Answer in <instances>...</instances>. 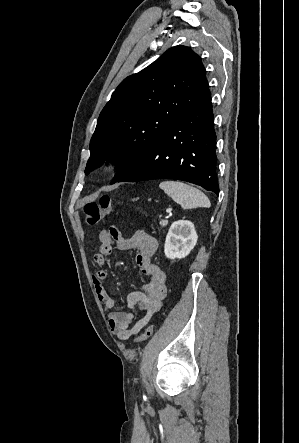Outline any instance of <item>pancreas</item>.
<instances>
[{"label": "pancreas", "instance_id": "cf45deb5", "mask_svg": "<svg viewBox=\"0 0 299 443\" xmlns=\"http://www.w3.org/2000/svg\"><path fill=\"white\" fill-rule=\"evenodd\" d=\"M167 224H168V221H167V220H162V221H160V225H161L162 227L166 226Z\"/></svg>", "mask_w": 299, "mask_h": 443}]
</instances>
